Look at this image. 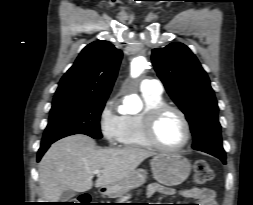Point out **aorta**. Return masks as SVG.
<instances>
[{
  "label": "aorta",
  "mask_w": 253,
  "mask_h": 205,
  "mask_svg": "<svg viewBox=\"0 0 253 205\" xmlns=\"http://www.w3.org/2000/svg\"><path fill=\"white\" fill-rule=\"evenodd\" d=\"M146 66V60L143 57L135 58L131 63V75L133 77L139 76Z\"/></svg>",
  "instance_id": "762f6f07"
}]
</instances>
